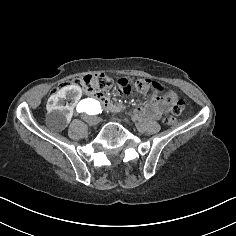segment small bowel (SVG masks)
<instances>
[{
	"mask_svg": "<svg viewBox=\"0 0 236 236\" xmlns=\"http://www.w3.org/2000/svg\"><path fill=\"white\" fill-rule=\"evenodd\" d=\"M168 111L167 103L161 98H154L144 106L136 108V115L158 119Z\"/></svg>",
	"mask_w": 236,
	"mask_h": 236,
	"instance_id": "small-bowel-1",
	"label": "small bowel"
}]
</instances>
